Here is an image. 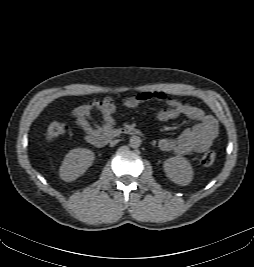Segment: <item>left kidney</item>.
Here are the masks:
<instances>
[{
	"instance_id": "1",
	"label": "left kidney",
	"mask_w": 254,
	"mask_h": 267,
	"mask_svg": "<svg viewBox=\"0 0 254 267\" xmlns=\"http://www.w3.org/2000/svg\"><path fill=\"white\" fill-rule=\"evenodd\" d=\"M164 171L174 183L186 186L193 179V170L189 161L182 156L168 158L164 162Z\"/></svg>"
}]
</instances>
